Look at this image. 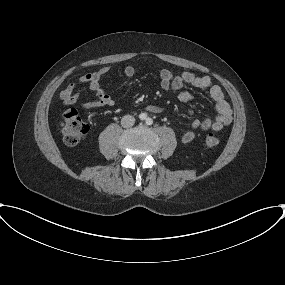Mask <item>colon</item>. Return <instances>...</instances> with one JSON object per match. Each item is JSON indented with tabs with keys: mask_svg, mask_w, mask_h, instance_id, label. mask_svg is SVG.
Returning <instances> with one entry per match:
<instances>
[{
	"mask_svg": "<svg viewBox=\"0 0 285 285\" xmlns=\"http://www.w3.org/2000/svg\"><path fill=\"white\" fill-rule=\"evenodd\" d=\"M63 141L69 146L77 145L88 133L89 126L75 110H68L64 113L61 122ZM219 139L215 133H208L204 138L207 147H215Z\"/></svg>",
	"mask_w": 285,
	"mask_h": 285,
	"instance_id": "1",
	"label": "colon"
}]
</instances>
